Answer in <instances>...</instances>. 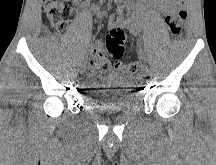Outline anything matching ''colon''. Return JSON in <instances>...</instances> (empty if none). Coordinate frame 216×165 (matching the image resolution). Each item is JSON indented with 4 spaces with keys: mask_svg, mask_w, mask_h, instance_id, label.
<instances>
[{
    "mask_svg": "<svg viewBox=\"0 0 216 165\" xmlns=\"http://www.w3.org/2000/svg\"><path fill=\"white\" fill-rule=\"evenodd\" d=\"M81 0H44L43 11L50 25L57 31L63 32L76 17L77 4ZM187 13L183 9L176 10L166 16V24L173 36H178L183 28ZM126 33L121 27H113L105 39V51L93 53L92 66L98 71H105L111 65L130 75H137L140 65L137 62L123 64ZM109 59L112 63L109 62Z\"/></svg>",
    "mask_w": 216,
    "mask_h": 165,
    "instance_id": "1",
    "label": "colon"
}]
</instances>
